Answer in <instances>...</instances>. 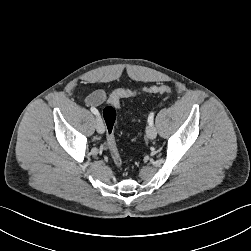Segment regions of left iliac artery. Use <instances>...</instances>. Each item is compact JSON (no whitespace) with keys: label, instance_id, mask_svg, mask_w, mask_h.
I'll use <instances>...</instances> for the list:
<instances>
[{"label":"left iliac artery","instance_id":"obj_1","mask_svg":"<svg viewBox=\"0 0 251 251\" xmlns=\"http://www.w3.org/2000/svg\"><path fill=\"white\" fill-rule=\"evenodd\" d=\"M153 120H154V112H151L148 116L149 125H153Z\"/></svg>","mask_w":251,"mask_h":251}]
</instances>
